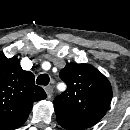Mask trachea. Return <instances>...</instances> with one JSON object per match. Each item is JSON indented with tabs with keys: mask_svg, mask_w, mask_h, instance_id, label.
Segmentation results:
<instances>
[{
	"mask_svg": "<svg viewBox=\"0 0 130 130\" xmlns=\"http://www.w3.org/2000/svg\"><path fill=\"white\" fill-rule=\"evenodd\" d=\"M50 81V78L47 74H40L36 80V83L38 85H44L46 86Z\"/></svg>",
	"mask_w": 130,
	"mask_h": 130,
	"instance_id": "3493384b",
	"label": "trachea"
}]
</instances>
